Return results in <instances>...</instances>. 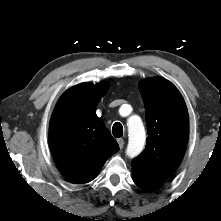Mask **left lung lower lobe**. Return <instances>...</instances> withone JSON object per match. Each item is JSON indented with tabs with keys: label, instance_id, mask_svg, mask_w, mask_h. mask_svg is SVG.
<instances>
[{
	"label": "left lung lower lobe",
	"instance_id": "0a47b994",
	"mask_svg": "<svg viewBox=\"0 0 221 221\" xmlns=\"http://www.w3.org/2000/svg\"><path fill=\"white\" fill-rule=\"evenodd\" d=\"M133 181L145 191H153L163 185V182L148 176L141 168L132 165Z\"/></svg>",
	"mask_w": 221,
	"mask_h": 221
}]
</instances>
